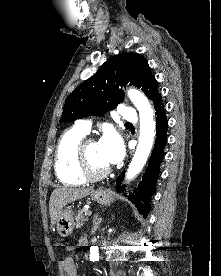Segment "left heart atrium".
Wrapping results in <instances>:
<instances>
[{"label": "left heart atrium", "instance_id": "1", "mask_svg": "<svg viewBox=\"0 0 221 276\" xmlns=\"http://www.w3.org/2000/svg\"><path fill=\"white\" fill-rule=\"evenodd\" d=\"M99 152L102 159L108 164L113 165L121 160L124 149L121 138L113 131L104 134L98 143Z\"/></svg>", "mask_w": 221, "mask_h": 276}]
</instances>
